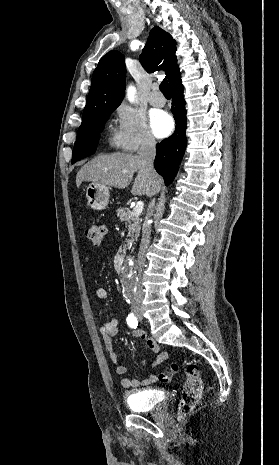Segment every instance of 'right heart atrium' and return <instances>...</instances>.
<instances>
[{
	"instance_id": "obj_1",
	"label": "right heart atrium",
	"mask_w": 279,
	"mask_h": 465,
	"mask_svg": "<svg viewBox=\"0 0 279 465\" xmlns=\"http://www.w3.org/2000/svg\"><path fill=\"white\" fill-rule=\"evenodd\" d=\"M111 139L114 145L126 152L152 148L156 144L144 116L126 104L115 109Z\"/></svg>"
}]
</instances>
